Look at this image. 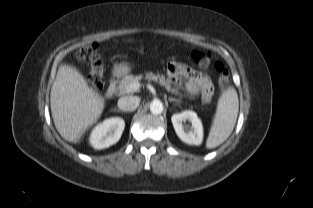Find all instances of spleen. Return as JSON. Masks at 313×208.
<instances>
[{
    "mask_svg": "<svg viewBox=\"0 0 313 208\" xmlns=\"http://www.w3.org/2000/svg\"><path fill=\"white\" fill-rule=\"evenodd\" d=\"M239 110V100L235 89L230 88L218 101L217 111L206 141L208 149L222 144L232 133Z\"/></svg>",
    "mask_w": 313,
    "mask_h": 208,
    "instance_id": "spleen-1",
    "label": "spleen"
}]
</instances>
